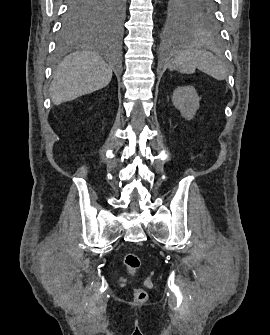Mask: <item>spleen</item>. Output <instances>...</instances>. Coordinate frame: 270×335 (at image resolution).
Listing matches in <instances>:
<instances>
[{
	"mask_svg": "<svg viewBox=\"0 0 270 335\" xmlns=\"http://www.w3.org/2000/svg\"><path fill=\"white\" fill-rule=\"evenodd\" d=\"M172 56V60L168 62V68H172V70L179 68L183 74H194L195 68H198L215 80H225L227 76V68L224 62L218 60L211 52H206V50L200 48L196 42L175 46Z\"/></svg>",
	"mask_w": 270,
	"mask_h": 335,
	"instance_id": "1",
	"label": "spleen"
}]
</instances>
